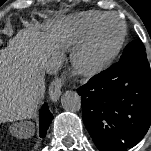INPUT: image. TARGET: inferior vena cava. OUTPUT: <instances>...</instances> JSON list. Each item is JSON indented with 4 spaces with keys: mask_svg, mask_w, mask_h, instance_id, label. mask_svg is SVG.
I'll list each match as a JSON object with an SVG mask.
<instances>
[{
    "mask_svg": "<svg viewBox=\"0 0 151 151\" xmlns=\"http://www.w3.org/2000/svg\"><path fill=\"white\" fill-rule=\"evenodd\" d=\"M60 65L61 61L57 58L49 59L44 63L45 70L48 73L56 72L59 69Z\"/></svg>",
    "mask_w": 151,
    "mask_h": 151,
    "instance_id": "inferior-vena-cava-1",
    "label": "inferior vena cava"
}]
</instances>
